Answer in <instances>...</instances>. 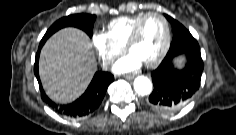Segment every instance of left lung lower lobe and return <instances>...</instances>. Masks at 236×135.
<instances>
[{
    "label": "left lung lower lobe",
    "instance_id": "obj_1",
    "mask_svg": "<svg viewBox=\"0 0 236 135\" xmlns=\"http://www.w3.org/2000/svg\"><path fill=\"white\" fill-rule=\"evenodd\" d=\"M173 29L170 49L156 70L151 73L154 89L148 104L160 113H171L185 105L200 87L204 64L198 42L178 21L169 20ZM185 55L187 64L178 70L174 58Z\"/></svg>",
    "mask_w": 236,
    "mask_h": 135
}]
</instances>
